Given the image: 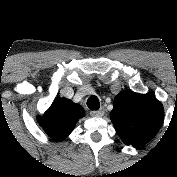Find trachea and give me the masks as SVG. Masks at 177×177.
I'll return each mask as SVG.
<instances>
[{
    "label": "trachea",
    "instance_id": "3493384b",
    "mask_svg": "<svg viewBox=\"0 0 177 177\" xmlns=\"http://www.w3.org/2000/svg\"><path fill=\"white\" fill-rule=\"evenodd\" d=\"M87 106L89 109L97 111L100 108V102L97 96L92 95L87 100Z\"/></svg>",
    "mask_w": 177,
    "mask_h": 177
}]
</instances>
